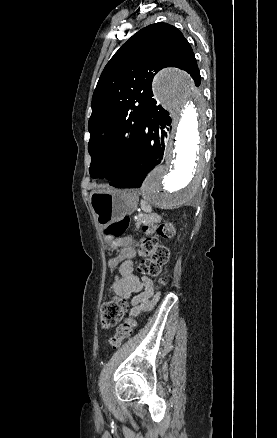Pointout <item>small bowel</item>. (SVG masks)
<instances>
[{
  "label": "small bowel",
  "instance_id": "small-bowel-1",
  "mask_svg": "<svg viewBox=\"0 0 277 438\" xmlns=\"http://www.w3.org/2000/svg\"><path fill=\"white\" fill-rule=\"evenodd\" d=\"M134 255L135 253L132 250L127 253L125 260L120 265L119 275L113 283V290L118 296L129 298L132 294H135L131 301L130 316H136L141 311L151 309L156 300L152 281L146 277H139L134 273Z\"/></svg>",
  "mask_w": 277,
  "mask_h": 438
}]
</instances>
